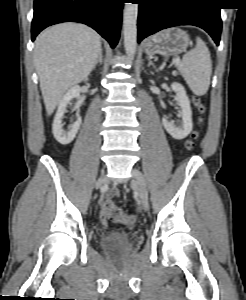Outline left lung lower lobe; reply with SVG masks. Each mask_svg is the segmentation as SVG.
<instances>
[{"mask_svg": "<svg viewBox=\"0 0 246 300\" xmlns=\"http://www.w3.org/2000/svg\"><path fill=\"white\" fill-rule=\"evenodd\" d=\"M139 4L138 42L162 29L194 25L219 45L222 22L217 0H136Z\"/></svg>", "mask_w": 246, "mask_h": 300, "instance_id": "left-lung-lower-lobe-1", "label": "left lung lower lobe"}]
</instances>
